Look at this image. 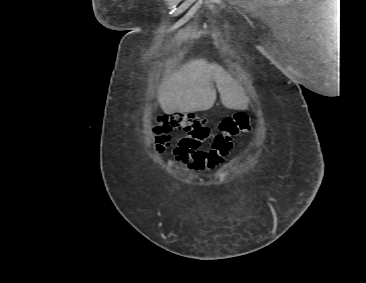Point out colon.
<instances>
[{
    "label": "colon",
    "instance_id": "colon-1",
    "mask_svg": "<svg viewBox=\"0 0 366 283\" xmlns=\"http://www.w3.org/2000/svg\"><path fill=\"white\" fill-rule=\"evenodd\" d=\"M156 122L157 133H168L175 129L184 131L174 147V155L179 161L201 169L214 164L219 147L233 146L237 136L252 129L251 119L243 112L225 117L219 124L218 133L213 136L210 149L202 151L201 144L211 135L202 117L193 113H172L158 116Z\"/></svg>",
    "mask_w": 366,
    "mask_h": 283
}]
</instances>
